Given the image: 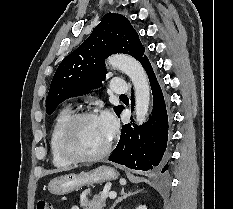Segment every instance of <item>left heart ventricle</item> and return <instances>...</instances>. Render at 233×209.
<instances>
[{"mask_svg":"<svg viewBox=\"0 0 233 209\" xmlns=\"http://www.w3.org/2000/svg\"><path fill=\"white\" fill-rule=\"evenodd\" d=\"M109 138L98 117L82 120L74 131L71 146L81 155H92L104 148Z\"/></svg>","mask_w":233,"mask_h":209,"instance_id":"left-heart-ventricle-1","label":"left heart ventricle"}]
</instances>
